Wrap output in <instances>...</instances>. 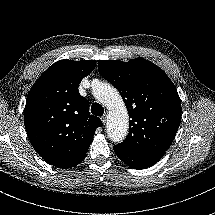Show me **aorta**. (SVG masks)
<instances>
[{
    "label": "aorta",
    "mask_w": 215,
    "mask_h": 215,
    "mask_svg": "<svg viewBox=\"0 0 215 215\" xmlns=\"http://www.w3.org/2000/svg\"><path fill=\"white\" fill-rule=\"evenodd\" d=\"M95 97L106 104L110 114L108 132L113 140H122L127 135L129 116L119 92L110 84L100 83L94 89Z\"/></svg>",
    "instance_id": "aorta-1"
}]
</instances>
